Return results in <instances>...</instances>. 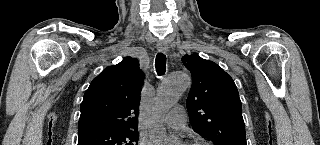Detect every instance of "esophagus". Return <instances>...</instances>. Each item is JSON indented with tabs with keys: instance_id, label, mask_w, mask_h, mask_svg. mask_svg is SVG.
<instances>
[{
	"instance_id": "obj_1",
	"label": "esophagus",
	"mask_w": 320,
	"mask_h": 145,
	"mask_svg": "<svg viewBox=\"0 0 320 145\" xmlns=\"http://www.w3.org/2000/svg\"><path fill=\"white\" fill-rule=\"evenodd\" d=\"M157 49L160 52L167 53L168 52V45H167V43H165L163 41H159L157 43Z\"/></svg>"
}]
</instances>
